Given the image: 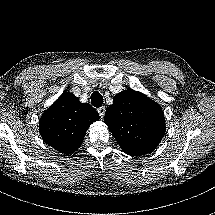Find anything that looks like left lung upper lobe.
<instances>
[{
  "label": "left lung upper lobe",
  "instance_id": "left-lung-upper-lobe-1",
  "mask_svg": "<svg viewBox=\"0 0 215 215\" xmlns=\"http://www.w3.org/2000/svg\"><path fill=\"white\" fill-rule=\"evenodd\" d=\"M104 119L122 150L130 156L152 152L165 134V118L161 107L134 90L116 94Z\"/></svg>",
  "mask_w": 215,
  "mask_h": 215
}]
</instances>
